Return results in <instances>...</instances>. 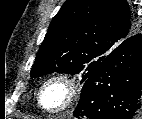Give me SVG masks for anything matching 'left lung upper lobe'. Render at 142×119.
I'll list each match as a JSON object with an SVG mask.
<instances>
[{
    "label": "left lung upper lobe",
    "instance_id": "left-lung-upper-lobe-1",
    "mask_svg": "<svg viewBox=\"0 0 142 119\" xmlns=\"http://www.w3.org/2000/svg\"><path fill=\"white\" fill-rule=\"evenodd\" d=\"M136 32V16L126 0H67L50 23L30 75L81 73L84 83Z\"/></svg>",
    "mask_w": 142,
    "mask_h": 119
}]
</instances>
